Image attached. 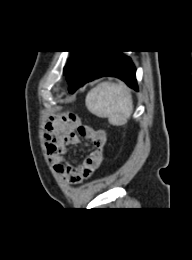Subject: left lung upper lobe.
I'll return each instance as SVG.
<instances>
[{"instance_id":"obj_1","label":"left lung upper lobe","mask_w":192,"mask_h":260,"mask_svg":"<svg viewBox=\"0 0 192 260\" xmlns=\"http://www.w3.org/2000/svg\"><path fill=\"white\" fill-rule=\"evenodd\" d=\"M97 53L98 51H75L72 61L64 67V74L67 76L71 93H74L77 89L91 60Z\"/></svg>"}]
</instances>
